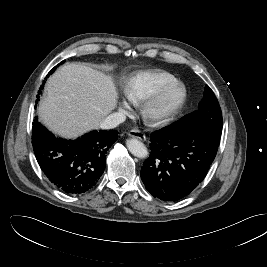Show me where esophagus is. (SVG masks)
I'll list each match as a JSON object with an SVG mask.
<instances>
[{"mask_svg": "<svg viewBox=\"0 0 267 267\" xmlns=\"http://www.w3.org/2000/svg\"><path fill=\"white\" fill-rule=\"evenodd\" d=\"M128 136L133 137V138H137L141 141L146 140V136L143 132L139 131V130H131L128 132Z\"/></svg>", "mask_w": 267, "mask_h": 267, "instance_id": "esophagus-1", "label": "esophagus"}]
</instances>
